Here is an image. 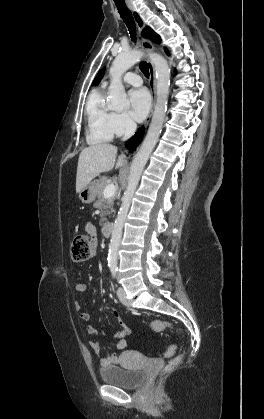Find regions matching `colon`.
Segmentation results:
<instances>
[{
	"mask_svg": "<svg viewBox=\"0 0 264 419\" xmlns=\"http://www.w3.org/2000/svg\"><path fill=\"white\" fill-rule=\"evenodd\" d=\"M71 258L75 262H82L91 256V244L90 239L87 235L78 234L74 237L71 249H70ZM174 327L172 322L166 320H153L150 323V328L155 331L159 332L166 328ZM176 352V346L171 345L167 348L164 355L165 356H173ZM182 360V355L174 356L170 361L167 363L165 370L171 371L173 370Z\"/></svg>",
	"mask_w": 264,
	"mask_h": 419,
	"instance_id": "colon-1",
	"label": "colon"
}]
</instances>
